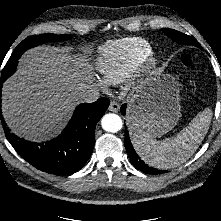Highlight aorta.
<instances>
[{
  "label": "aorta",
  "mask_w": 221,
  "mask_h": 221,
  "mask_svg": "<svg viewBox=\"0 0 221 221\" xmlns=\"http://www.w3.org/2000/svg\"><path fill=\"white\" fill-rule=\"evenodd\" d=\"M102 128L108 132H118L122 128V120L116 114H106L101 120Z\"/></svg>",
  "instance_id": "obj_1"
}]
</instances>
